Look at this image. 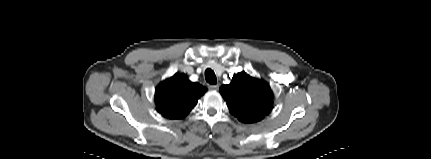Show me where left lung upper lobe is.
Wrapping results in <instances>:
<instances>
[{
	"label": "left lung upper lobe",
	"instance_id": "1",
	"mask_svg": "<svg viewBox=\"0 0 431 159\" xmlns=\"http://www.w3.org/2000/svg\"><path fill=\"white\" fill-rule=\"evenodd\" d=\"M230 112L240 121L257 122L271 112L273 93L269 85L245 72L233 76V82L220 87Z\"/></svg>",
	"mask_w": 431,
	"mask_h": 159
}]
</instances>
